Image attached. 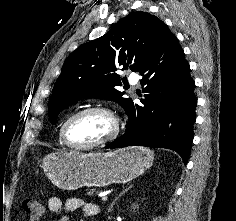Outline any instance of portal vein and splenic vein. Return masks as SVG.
<instances>
[{
    "label": "portal vein and splenic vein",
    "instance_id": "portal-vein-and-splenic-vein-1",
    "mask_svg": "<svg viewBox=\"0 0 236 221\" xmlns=\"http://www.w3.org/2000/svg\"><path fill=\"white\" fill-rule=\"evenodd\" d=\"M107 199H108L107 196H103V197H102V201H106Z\"/></svg>",
    "mask_w": 236,
    "mask_h": 221
}]
</instances>
